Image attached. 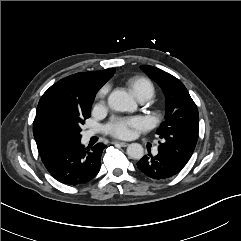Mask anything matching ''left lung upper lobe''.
Here are the masks:
<instances>
[{
    "mask_svg": "<svg viewBox=\"0 0 241 241\" xmlns=\"http://www.w3.org/2000/svg\"><path fill=\"white\" fill-rule=\"evenodd\" d=\"M141 68L161 86L166 97L165 120L156 131L163 139L158 150L185 166L198 139L197 107L180 80L150 65H142Z\"/></svg>",
    "mask_w": 241,
    "mask_h": 241,
    "instance_id": "obj_1",
    "label": "left lung upper lobe"
}]
</instances>
